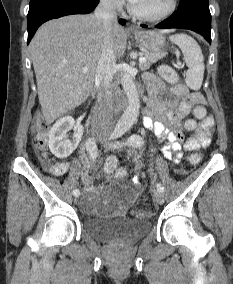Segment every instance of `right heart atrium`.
<instances>
[{
    "label": "right heart atrium",
    "mask_w": 233,
    "mask_h": 284,
    "mask_svg": "<svg viewBox=\"0 0 233 284\" xmlns=\"http://www.w3.org/2000/svg\"><path fill=\"white\" fill-rule=\"evenodd\" d=\"M102 4L109 9H120L123 5V0H100Z\"/></svg>",
    "instance_id": "1"
}]
</instances>
